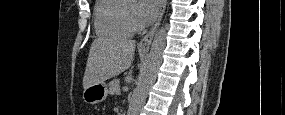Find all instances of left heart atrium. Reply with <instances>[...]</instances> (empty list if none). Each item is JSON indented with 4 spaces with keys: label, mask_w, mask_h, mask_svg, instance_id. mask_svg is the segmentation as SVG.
<instances>
[{
    "label": "left heart atrium",
    "mask_w": 285,
    "mask_h": 115,
    "mask_svg": "<svg viewBox=\"0 0 285 115\" xmlns=\"http://www.w3.org/2000/svg\"><path fill=\"white\" fill-rule=\"evenodd\" d=\"M160 0H140L137 18L141 23H149L156 16Z\"/></svg>",
    "instance_id": "left-heart-atrium-1"
}]
</instances>
